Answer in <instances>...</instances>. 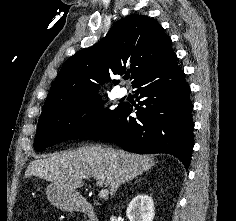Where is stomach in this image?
Wrapping results in <instances>:
<instances>
[{"label": "stomach", "mask_w": 236, "mask_h": 221, "mask_svg": "<svg viewBox=\"0 0 236 221\" xmlns=\"http://www.w3.org/2000/svg\"><path fill=\"white\" fill-rule=\"evenodd\" d=\"M46 195L54 206L63 211L76 210L82 201V197L77 191L67 190L55 183L47 186Z\"/></svg>", "instance_id": "stomach-1"}]
</instances>
